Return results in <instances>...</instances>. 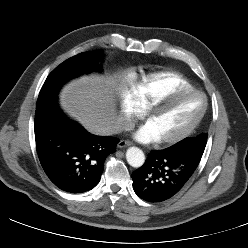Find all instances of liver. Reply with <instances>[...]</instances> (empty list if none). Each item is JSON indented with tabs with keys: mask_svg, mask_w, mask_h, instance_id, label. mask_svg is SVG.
<instances>
[{
	"mask_svg": "<svg viewBox=\"0 0 248 248\" xmlns=\"http://www.w3.org/2000/svg\"><path fill=\"white\" fill-rule=\"evenodd\" d=\"M117 81L112 76H82L61 91L60 104L89 132L107 135L116 117L113 93Z\"/></svg>",
	"mask_w": 248,
	"mask_h": 248,
	"instance_id": "obj_1",
	"label": "liver"
}]
</instances>
